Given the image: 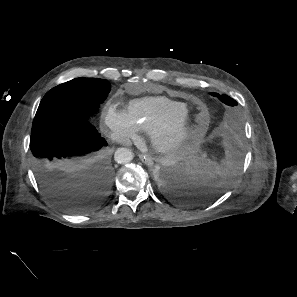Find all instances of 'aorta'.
Wrapping results in <instances>:
<instances>
[{"label": "aorta", "mask_w": 297, "mask_h": 297, "mask_svg": "<svg viewBox=\"0 0 297 297\" xmlns=\"http://www.w3.org/2000/svg\"><path fill=\"white\" fill-rule=\"evenodd\" d=\"M114 158L118 163L126 164L133 159V152L128 148H118L115 152Z\"/></svg>", "instance_id": "762f6f07"}]
</instances>
